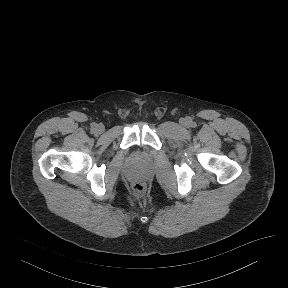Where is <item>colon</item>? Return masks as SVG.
Returning <instances> with one entry per match:
<instances>
[{
	"label": "colon",
	"instance_id": "1",
	"mask_svg": "<svg viewBox=\"0 0 288 288\" xmlns=\"http://www.w3.org/2000/svg\"><path fill=\"white\" fill-rule=\"evenodd\" d=\"M131 192L134 195H141L144 192V185L141 182H134L131 185Z\"/></svg>",
	"mask_w": 288,
	"mask_h": 288
}]
</instances>
